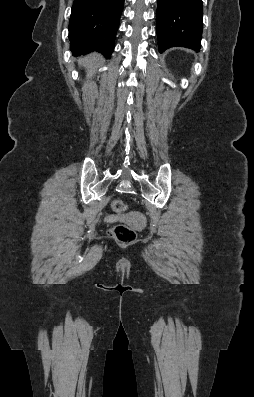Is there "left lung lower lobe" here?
<instances>
[{
  "label": "left lung lower lobe",
  "mask_w": 254,
  "mask_h": 397,
  "mask_svg": "<svg viewBox=\"0 0 254 397\" xmlns=\"http://www.w3.org/2000/svg\"><path fill=\"white\" fill-rule=\"evenodd\" d=\"M202 0H158L157 38L162 53L173 46L200 49L203 30Z\"/></svg>",
  "instance_id": "0a47b994"
}]
</instances>
